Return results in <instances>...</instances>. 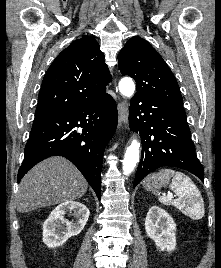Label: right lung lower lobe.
I'll list each match as a JSON object with an SVG mask.
<instances>
[{
  "instance_id": "obj_1",
  "label": "right lung lower lobe",
  "mask_w": 221,
  "mask_h": 268,
  "mask_svg": "<svg viewBox=\"0 0 221 268\" xmlns=\"http://www.w3.org/2000/svg\"><path fill=\"white\" fill-rule=\"evenodd\" d=\"M117 121V106L110 95L62 113L35 116L18 182L38 162L60 155L74 163L101 199L103 154Z\"/></svg>"
}]
</instances>
